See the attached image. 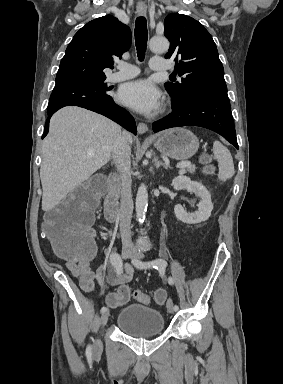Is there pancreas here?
<instances>
[{
    "mask_svg": "<svg viewBox=\"0 0 283 384\" xmlns=\"http://www.w3.org/2000/svg\"><path fill=\"white\" fill-rule=\"evenodd\" d=\"M195 170V166H187L186 168V172H189V174H194Z\"/></svg>",
    "mask_w": 283,
    "mask_h": 384,
    "instance_id": "pancreas-1",
    "label": "pancreas"
}]
</instances>
